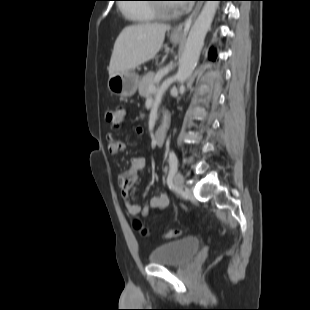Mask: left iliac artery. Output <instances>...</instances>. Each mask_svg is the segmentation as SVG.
Returning <instances> with one entry per match:
<instances>
[{
    "instance_id": "1",
    "label": "left iliac artery",
    "mask_w": 310,
    "mask_h": 310,
    "mask_svg": "<svg viewBox=\"0 0 310 310\" xmlns=\"http://www.w3.org/2000/svg\"><path fill=\"white\" fill-rule=\"evenodd\" d=\"M169 166H170V174L174 175L175 172L177 171L178 159L173 151L169 152Z\"/></svg>"
}]
</instances>
